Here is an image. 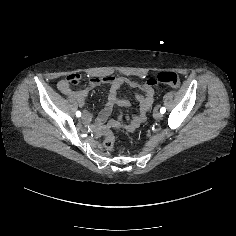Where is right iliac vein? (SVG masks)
<instances>
[{"mask_svg": "<svg viewBox=\"0 0 236 236\" xmlns=\"http://www.w3.org/2000/svg\"><path fill=\"white\" fill-rule=\"evenodd\" d=\"M87 117H88V114H87V113H85V114L82 115V119H84V120L87 119Z\"/></svg>", "mask_w": 236, "mask_h": 236, "instance_id": "1", "label": "right iliac vein"}]
</instances>
